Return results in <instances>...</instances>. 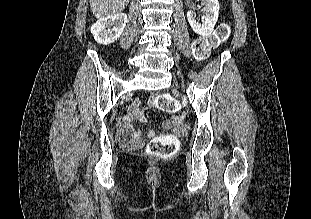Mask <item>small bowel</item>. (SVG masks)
<instances>
[{
	"mask_svg": "<svg viewBox=\"0 0 311 219\" xmlns=\"http://www.w3.org/2000/svg\"><path fill=\"white\" fill-rule=\"evenodd\" d=\"M130 110H131V116L124 117V119H123V123L125 126L129 127L134 120H136L139 123L145 122V117L139 109V101L138 100H135L132 103ZM170 128L177 135H180L183 133V128L180 126L177 119H174V121L170 124ZM140 135L141 134L139 131L133 132L132 134H126L124 136V140L126 142H129L130 140H137L140 138Z\"/></svg>",
	"mask_w": 311,
	"mask_h": 219,
	"instance_id": "small-bowel-1",
	"label": "small bowel"
}]
</instances>
